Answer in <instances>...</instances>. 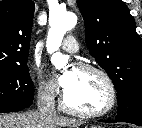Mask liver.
I'll use <instances>...</instances> for the list:
<instances>
[{
  "mask_svg": "<svg viewBox=\"0 0 142 128\" xmlns=\"http://www.w3.org/2000/svg\"><path fill=\"white\" fill-rule=\"evenodd\" d=\"M79 121L55 115L47 118L34 112L0 114V128H75Z\"/></svg>",
  "mask_w": 142,
  "mask_h": 128,
  "instance_id": "liver-1",
  "label": "liver"
}]
</instances>
